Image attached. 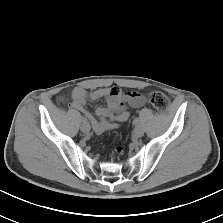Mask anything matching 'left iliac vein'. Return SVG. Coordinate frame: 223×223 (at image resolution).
Returning <instances> with one entry per match:
<instances>
[{
    "instance_id": "obj_1",
    "label": "left iliac vein",
    "mask_w": 223,
    "mask_h": 223,
    "mask_svg": "<svg viewBox=\"0 0 223 223\" xmlns=\"http://www.w3.org/2000/svg\"><path fill=\"white\" fill-rule=\"evenodd\" d=\"M143 134H144L143 129L140 126H136L135 129H134V131H133L134 137L140 138V137L143 136Z\"/></svg>"
}]
</instances>
